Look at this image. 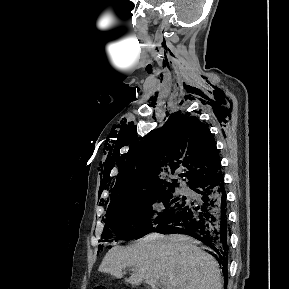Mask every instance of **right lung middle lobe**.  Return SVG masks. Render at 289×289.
<instances>
[{"label":"right lung middle lobe","instance_id":"dd1d6c3e","mask_svg":"<svg viewBox=\"0 0 289 289\" xmlns=\"http://www.w3.org/2000/svg\"><path fill=\"white\" fill-rule=\"evenodd\" d=\"M173 189L154 190L110 205L101 239H109L114 234L116 240H132L152 232L155 226L177 214L187 203L184 196L176 198ZM156 200L163 202L166 210L150 220L153 215L151 205Z\"/></svg>","mask_w":289,"mask_h":289}]
</instances>
